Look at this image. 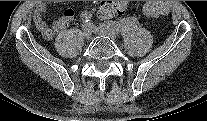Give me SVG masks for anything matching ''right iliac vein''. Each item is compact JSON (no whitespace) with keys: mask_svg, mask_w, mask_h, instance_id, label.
<instances>
[{"mask_svg":"<svg viewBox=\"0 0 207 121\" xmlns=\"http://www.w3.org/2000/svg\"><path fill=\"white\" fill-rule=\"evenodd\" d=\"M83 37L86 40H90L92 37V30L89 25H83Z\"/></svg>","mask_w":207,"mask_h":121,"instance_id":"63e3f726","label":"right iliac vein"}]
</instances>
